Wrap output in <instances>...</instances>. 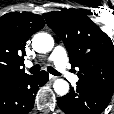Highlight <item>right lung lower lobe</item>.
Returning <instances> with one entry per match:
<instances>
[{"label":"right lung lower lobe","instance_id":"right-lung-lower-lobe-1","mask_svg":"<svg viewBox=\"0 0 114 114\" xmlns=\"http://www.w3.org/2000/svg\"><path fill=\"white\" fill-rule=\"evenodd\" d=\"M49 79L46 71L24 75L0 84V114H27L34 106L38 87Z\"/></svg>","mask_w":114,"mask_h":114}]
</instances>
